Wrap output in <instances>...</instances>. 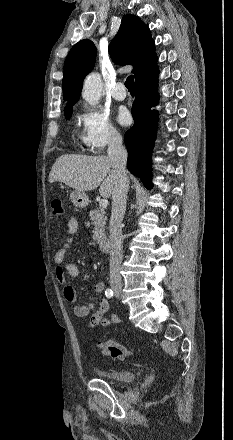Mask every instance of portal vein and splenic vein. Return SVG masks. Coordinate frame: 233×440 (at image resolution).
I'll use <instances>...</instances> for the list:
<instances>
[{
	"label": "portal vein and splenic vein",
	"instance_id": "obj_1",
	"mask_svg": "<svg viewBox=\"0 0 233 440\" xmlns=\"http://www.w3.org/2000/svg\"><path fill=\"white\" fill-rule=\"evenodd\" d=\"M99 205H100V207H102V208H106V207L108 206V200H107V199H102V200L99 202Z\"/></svg>",
	"mask_w": 233,
	"mask_h": 440
}]
</instances>
